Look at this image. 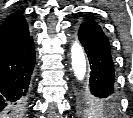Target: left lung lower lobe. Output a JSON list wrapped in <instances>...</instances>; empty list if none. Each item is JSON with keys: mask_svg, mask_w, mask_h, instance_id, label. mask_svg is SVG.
Segmentation results:
<instances>
[{"mask_svg": "<svg viewBox=\"0 0 133 118\" xmlns=\"http://www.w3.org/2000/svg\"><path fill=\"white\" fill-rule=\"evenodd\" d=\"M78 38L88 56L91 69L89 82L84 88L96 99L109 98L118 102L119 94L115 85L114 62L108 37L99 28L81 24Z\"/></svg>", "mask_w": 133, "mask_h": 118, "instance_id": "left-lung-lower-lobe-1", "label": "left lung lower lobe"}]
</instances>
